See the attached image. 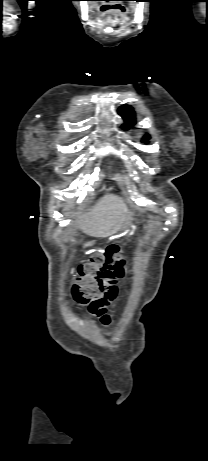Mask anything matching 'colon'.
Masks as SVG:
<instances>
[{"mask_svg": "<svg viewBox=\"0 0 208 461\" xmlns=\"http://www.w3.org/2000/svg\"><path fill=\"white\" fill-rule=\"evenodd\" d=\"M126 262L120 248L110 245L102 256L81 265L73 286L75 299L90 306L101 296L106 283L123 276Z\"/></svg>", "mask_w": 208, "mask_h": 461, "instance_id": "5ec220e1", "label": "colon"}]
</instances>
